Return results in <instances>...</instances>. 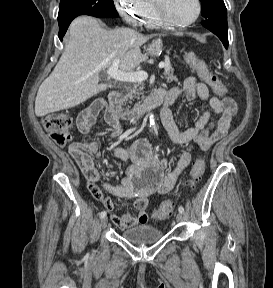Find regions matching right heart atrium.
<instances>
[{
  "label": "right heart atrium",
  "instance_id": "1",
  "mask_svg": "<svg viewBox=\"0 0 273 288\" xmlns=\"http://www.w3.org/2000/svg\"><path fill=\"white\" fill-rule=\"evenodd\" d=\"M119 14L131 25L141 23L149 10L148 0H113Z\"/></svg>",
  "mask_w": 273,
  "mask_h": 288
}]
</instances>
